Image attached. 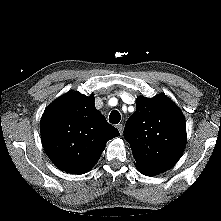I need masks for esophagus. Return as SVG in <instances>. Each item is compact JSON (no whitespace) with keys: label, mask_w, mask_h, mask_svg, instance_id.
I'll use <instances>...</instances> for the list:
<instances>
[{"label":"esophagus","mask_w":221,"mask_h":221,"mask_svg":"<svg viewBox=\"0 0 221 221\" xmlns=\"http://www.w3.org/2000/svg\"><path fill=\"white\" fill-rule=\"evenodd\" d=\"M117 129L119 130L120 134L122 135L123 134V129H124L123 124H118Z\"/></svg>","instance_id":"obj_1"}]
</instances>
